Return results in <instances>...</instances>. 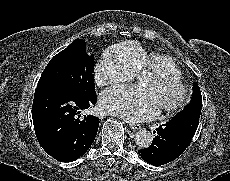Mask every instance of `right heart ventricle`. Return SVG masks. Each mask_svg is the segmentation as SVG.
I'll list each match as a JSON object with an SVG mask.
<instances>
[{"instance_id": "obj_1", "label": "right heart ventricle", "mask_w": 230, "mask_h": 181, "mask_svg": "<svg viewBox=\"0 0 230 181\" xmlns=\"http://www.w3.org/2000/svg\"><path fill=\"white\" fill-rule=\"evenodd\" d=\"M108 56L128 74H142L144 71H169L181 77L180 70L171 58L153 54L139 42H128L113 48Z\"/></svg>"}]
</instances>
